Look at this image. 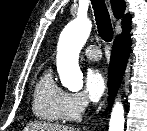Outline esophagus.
<instances>
[{"label": "esophagus", "mask_w": 147, "mask_h": 131, "mask_svg": "<svg viewBox=\"0 0 147 131\" xmlns=\"http://www.w3.org/2000/svg\"><path fill=\"white\" fill-rule=\"evenodd\" d=\"M108 3H109V0H108ZM109 8H110V3H109ZM110 12H111V15H112V17H113V19H114V16H113V14H112L111 8H110Z\"/></svg>", "instance_id": "34e87169"}]
</instances>
